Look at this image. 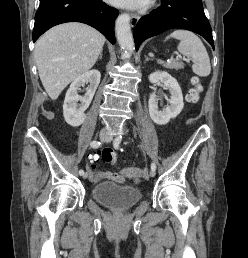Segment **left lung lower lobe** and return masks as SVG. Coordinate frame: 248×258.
I'll return each mask as SVG.
<instances>
[{"instance_id":"obj_1","label":"left lung lower lobe","mask_w":248,"mask_h":258,"mask_svg":"<svg viewBox=\"0 0 248 258\" xmlns=\"http://www.w3.org/2000/svg\"><path fill=\"white\" fill-rule=\"evenodd\" d=\"M182 28L203 36L213 47L211 26L201 0H161V6L142 17L134 30L136 50L147 38L168 29Z\"/></svg>"}]
</instances>
